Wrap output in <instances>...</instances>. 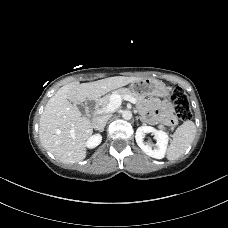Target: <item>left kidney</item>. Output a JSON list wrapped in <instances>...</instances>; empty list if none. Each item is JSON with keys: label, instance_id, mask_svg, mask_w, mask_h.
Instances as JSON below:
<instances>
[{"label": "left kidney", "instance_id": "5707ae66", "mask_svg": "<svg viewBox=\"0 0 228 228\" xmlns=\"http://www.w3.org/2000/svg\"><path fill=\"white\" fill-rule=\"evenodd\" d=\"M147 133H152L156 140L155 146L150 143H145L144 138ZM137 145L144 151L148 156L155 159H162L165 157L169 136L166 132L156 130L151 126H141L136 130L135 136Z\"/></svg>", "mask_w": 228, "mask_h": 228}]
</instances>
